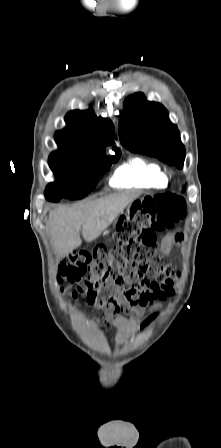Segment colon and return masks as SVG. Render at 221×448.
<instances>
[{
  "label": "colon",
  "instance_id": "1",
  "mask_svg": "<svg viewBox=\"0 0 221 448\" xmlns=\"http://www.w3.org/2000/svg\"><path fill=\"white\" fill-rule=\"evenodd\" d=\"M185 214L186 202L181 196L145 197L135 203L129 218L118 221L116 247L97 246L71 253L61 266L59 280L81 281L73 296L85 304L95 303L100 291L118 287L132 306L151 308L172 294L180 277L170 259L159 251L156 232L171 228Z\"/></svg>",
  "mask_w": 221,
  "mask_h": 448
}]
</instances>
